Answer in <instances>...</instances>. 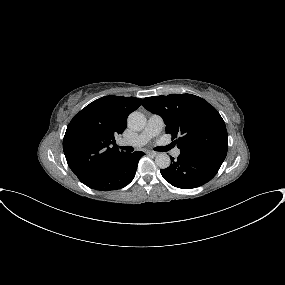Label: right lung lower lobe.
<instances>
[{
	"label": "right lung lower lobe",
	"mask_w": 285,
	"mask_h": 285,
	"mask_svg": "<svg viewBox=\"0 0 285 285\" xmlns=\"http://www.w3.org/2000/svg\"><path fill=\"white\" fill-rule=\"evenodd\" d=\"M144 155L141 151L125 153L109 166L96 171L80 181L86 186L99 190H118L129 184L137 169L139 159Z\"/></svg>",
	"instance_id": "1"
}]
</instances>
